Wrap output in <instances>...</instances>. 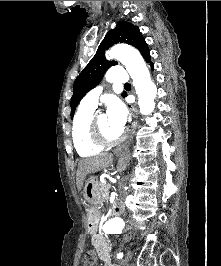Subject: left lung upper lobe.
<instances>
[{
	"mask_svg": "<svg viewBox=\"0 0 221 266\" xmlns=\"http://www.w3.org/2000/svg\"><path fill=\"white\" fill-rule=\"evenodd\" d=\"M116 43L132 45L141 52L145 60L151 59L148 45L139 28L132 23L120 21L113 30L106 34L96 54L76 78L71 98V118H73L75 109L82 97L100 83L109 67L117 64L115 61H107L105 58V51ZM125 95L126 93L123 92L122 96Z\"/></svg>",
	"mask_w": 221,
	"mask_h": 266,
	"instance_id": "1",
	"label": "left lung upper lobe"
}]
</instances>
